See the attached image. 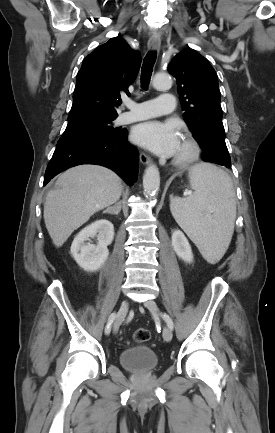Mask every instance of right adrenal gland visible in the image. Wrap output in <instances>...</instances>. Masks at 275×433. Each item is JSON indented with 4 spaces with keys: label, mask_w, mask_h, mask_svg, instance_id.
<instances>
[{
    "label": "right adrenal gland",
    "mask_w": 275,
    "mask_h": 433,
    "mask_svg": "<svg viewBox=\"0 0 275 433\" xmlns=\"http://www.w3.org/2000/svg\"><path fill=\"white\" fill-rule=\"evenodd\" d=\"M121 201L115 203L114 206L107 208L106 210L103 211V213H108V214H115L118 215L121 211Z\"/></svg>",
    "instance_id": "obj_1"
}]
</instances>
